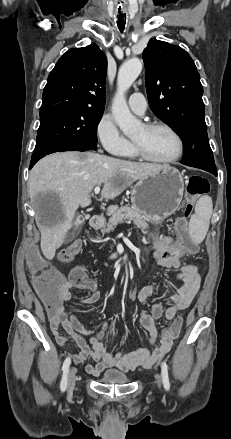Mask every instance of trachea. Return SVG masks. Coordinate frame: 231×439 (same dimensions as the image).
<instances>
[{
    "instance_id": "obj_1",
    "label": "trachea",
    "mask_w": 231,
    "mask_h": 439,
    "mask_svg": "<svg viewBox=\"0 0 231 439\" xmlns=\"http://www.w3.org/2000/svg\"><path fill=\"white\" fill-rule=\"evenodd\" d=\"M125 23H126V16H125V19H124V17L123 16H119L118 17V21H117V25H118V28H119V30L122 32L123 30H124V28H125Z\"/></svg>"
}]
</instances>
